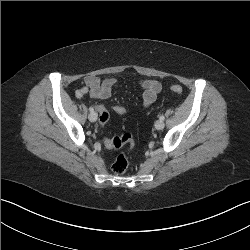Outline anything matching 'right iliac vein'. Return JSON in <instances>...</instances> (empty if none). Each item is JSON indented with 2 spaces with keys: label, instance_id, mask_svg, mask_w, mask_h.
Here are the masks:
<instances>
[{
  "label": "right iliac vein",
  "instance_id": "right-iliac-vein-1",
  "mask_svg": "<svg viewBox=\"0 0 250 250\" xmlns=\"http://www.w3.org/2000/svg\"><path fill=\"white\" fill-rule=\"evenodd\" d=\"M88 118H89V120H90L91 122H95V121L97 120V113L91 112V113L89 114Z\"/></svg>",
  "mask_w": 250,
  "mask_h": 250
}]
</instances>
